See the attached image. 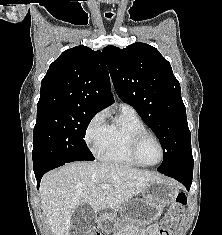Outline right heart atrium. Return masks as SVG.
<instances>
[{
	"label": "right heart atrium",
	"mask_w": 222,
	"mask_h": 235,
	"mask_svg": "<svg viewBox=\"0 0 222 235\" xmlns=\"http://www.w3.org/2000/svg\"><path fill=\"white\" fill-rule=\"evenodd\" d=\"M106 130L105 112L99 111L91 118L85 130V142L93 153L97 154L104 143Z\"/></svg>",
	"instance_id": "right-heart-atrium-1"
}]
</instances>
